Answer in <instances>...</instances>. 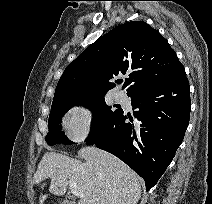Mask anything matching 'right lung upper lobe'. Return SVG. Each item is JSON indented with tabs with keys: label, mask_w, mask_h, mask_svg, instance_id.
Returning a JSON list of instances; mask_svg holds the SVG:
<instances>
[{
	"label": "right lung upper lobe",
	"mask_w": 212,
	"mask_h": 204,
	"mask_svg": "<svg viewBox=\"0 0 212 204\" xmlns=\"http://www.w3.org/2000/svg\"><path fill=\"white\" fill-rule=\"evenodd\" d=\"M183 70L157 30L143 21L127 22L98 38L67 66L51 109L104 96L115 86L110 80L119 74H129L125 82L129 94L164 83Z\"/></svg>",
	"instance_id": "right-lung-upper-lobe-1"
}]
</instances>
